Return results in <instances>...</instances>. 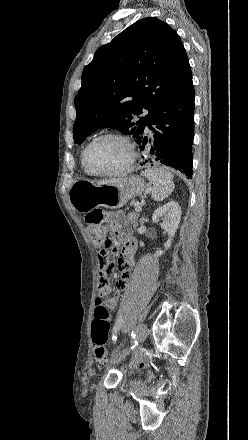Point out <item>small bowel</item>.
<instances>
[{
	"label": "small bowel",
	"mask_w": 248,
	"mask_h": 440,
	"mask_svg": "<svg viewBox=\"0 0 248 440\" xmlns=\"http://www.w3.org/2000/svg\"><path fill=\"white\" fill-rule=\"evenodd\" d=\"M112 225L123 235L124 247L120 257H100L99 258V276L96 278L99 295L95 301L103 304L107 309L114 310L120 296V291L126 286L130 270L133 266L134 252L136 242L131 237L125 218L119 212L112 216ZM111 277L116 278L115 282L117 290L110 285ZM112 294L109 297L107 295ZM106 297V298H105ZM140 362V361H139Z\"/></svg>",
	"instance_id": "obj_1"
}]
</instances>
